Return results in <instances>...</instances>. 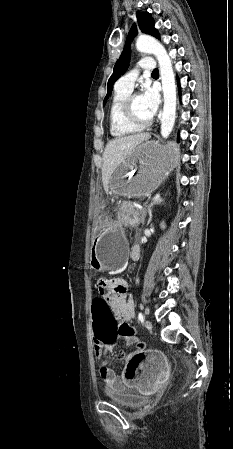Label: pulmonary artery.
<instances>
[{
    "label": "pulmonary artery",
    "instance_id": "obj_1",
    "mask_svg": "<svg viewBox=\"0 0 233 449\" xmlns=\"http://www.w3.org/2000/svg\"><path fill=\"white\" fill-rule=\"evenodd\" d=\"M138 67L141 68L144 71H151L155 67V63L152 58H143L139 63ZM138 69H134L127 74H125L123 77L119 79L117 82V85L120 87H125L132 89L135 83V80L138 76Z\"/></svg>",
    "mask_w": 233,
    "mask_h": 449
}]
</instances>
